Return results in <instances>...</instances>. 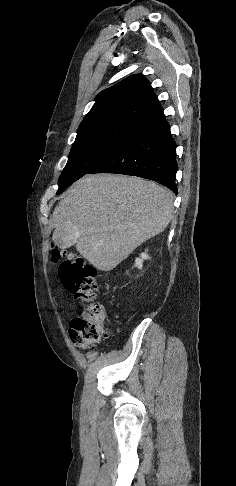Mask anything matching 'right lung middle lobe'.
Here are the masks:
<instances>
[{
	"label": "right lung middle lobe",
	"mask_w": 236,
	"mask_h": 486,
	"mask_svg": "<svg viewBox=\"0 0 236 486\" xmlns=\"http://www.w3.org/2000/svg\"><path fill=\"white\" fill-rule=\"evenodd\" d=\"M138 128L139 124H115L77 134L57 194L128 142Z\"/></svg>",
	"instance_id": "obj_1"
}]
</instances>
